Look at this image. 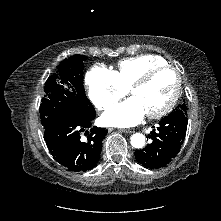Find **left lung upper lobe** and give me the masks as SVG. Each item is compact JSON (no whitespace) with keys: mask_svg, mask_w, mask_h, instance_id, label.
I'll use <instances>...</instances> for the list:
<instances>
[{"mask_svg":"<svg viewBox=\"0 0 221 221\" xmlns=\"http://www.w3.org/2000/svg\"><path fill=\"white\" fill-rule=\"evenodd\" d=\"M175 110H183V111H187V107L186 105L183 103L181 105H178Z\"/></svg>","mask_w":221,"mask_h":221,"instance_id":"left-lung-upper-lobe-1","label":"left lung upper lobe"}]
</instances>
